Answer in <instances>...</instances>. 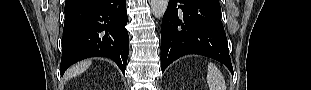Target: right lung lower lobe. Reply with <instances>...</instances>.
I'll return each mask as SVG.
<instances>
[{"instance_id": "obj_1", "label": "right lung lower lobe", "mask_w": 311, "mask_h": 90, "mask_svg": "<svg viewBox=\"0 0 311 90\" xmlns=\"http://www.w3.org/2000/svg\"><path fill=\"white\" fill-rule=\"evenodd\" d=\"M60 74L89 57L112 59L125 73L129 53L126 0H66Z\"/></svg>"}]
</instances>
